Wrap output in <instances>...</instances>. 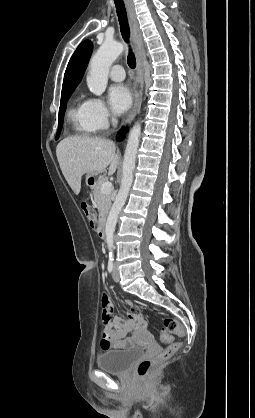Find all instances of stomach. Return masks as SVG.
I'll list each match as a JSON object with an SVG mask.
<instances>
[{"instance_id":"obj_1","label":"stomach","mask_w":255,"mask_h":418,"mask_svg":"<svg viewBox=\"0 0 255 418\" xmlns=\"http://www.w3.org/2000/svg\"><path fill=\"white\" fill-rule=\"evenodd\" d=\"M97 175H98V174H95V173H88V174L86 175V184H87L89 187L94 188V187L96 186V184H97V182H98V180H97Z\"/></svg>"}]
</instances>
